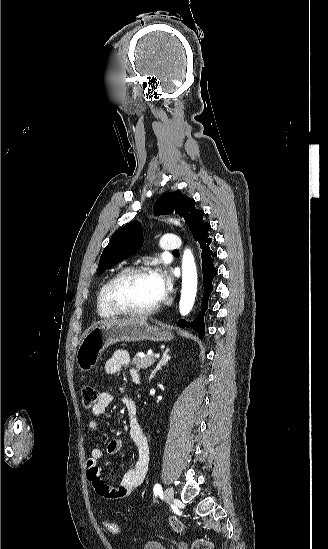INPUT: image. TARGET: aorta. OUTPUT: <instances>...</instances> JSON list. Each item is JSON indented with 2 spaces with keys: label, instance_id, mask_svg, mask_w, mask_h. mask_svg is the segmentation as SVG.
<instances>
[{
  "label": "aorta",
  "instance_id": "762f6f07",
  "mask_svg": "<svg viewBox=\"0 0 328 549\" xmlns=\"http://www.w3.org/2000/svg\"><path fill=\"white\" fill-rule=\"evenodd\" d=\"M178 224V222H175ZM197 292V270L194 257L190 249L184 251L182 257V290L179 302V311L186 316L191 311Z\"/></svg>",
  "mask_w": 328,
  "mask_h": 549
}]
</instances>
